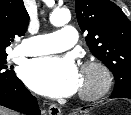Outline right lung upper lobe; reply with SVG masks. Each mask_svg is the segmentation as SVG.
<instances>
[{"mask_svg":"<svg viewBox=\"0 0 131 115\" xmlns=\"http://www.w3.org/2000/svg\"><path fill=\"white\" fill-rule=\"evenodd\" d=\"M29 15L23 0H0V54L15 36H22L27 30Z\"/></svg>","mask_w":131,"mask_h":115,"instance_id":"1","label":"right lung upper lobe"}]
</instances>
